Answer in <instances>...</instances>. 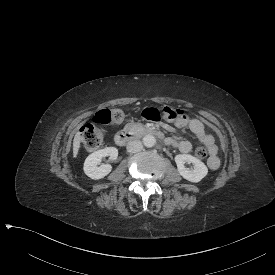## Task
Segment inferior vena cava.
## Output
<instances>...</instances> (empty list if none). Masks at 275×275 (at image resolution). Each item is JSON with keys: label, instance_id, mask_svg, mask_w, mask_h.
I'll return each mask as SVG.
<instances>
[{"label": "inferior vena cava", "instance_id": "602c4592", "mask_svg": "<svg viewBox=\"0 0 275 275\" xmlns=\"http://www.w3.org/2000/svg\"><path fill=\"white\" fill-rule=\"evenodd\" d=\"M126 149L129 153L139 152L142 149V143L139 140L131 141L128 143Z\"/></svg>", "mask_w": 275, "mask_h": 275}]
</instances>
